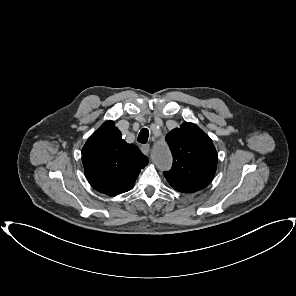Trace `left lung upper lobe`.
Returning a JSON list of instances; mask_svg holds the SVG:
<instances>
[{
  "label": "left lung upper lobe",
  "instance_id": "left-lung-upper-lobe-1",
  "mask_svg": "<svg viewBox=\"0 0 296 296\" xmlns=\"http://www.w3.org/2000/svg\"><path fill=\"white\" fill-rule=\"evenodd\" d=\"M173 166L164 172L178 192L194 193L204 189L216 172L218 154L211 138L193 123L184 122L166 136Z\"/></svg>",
  "mask_w": 296,
  "mask_h": 296
}]
</instances>
